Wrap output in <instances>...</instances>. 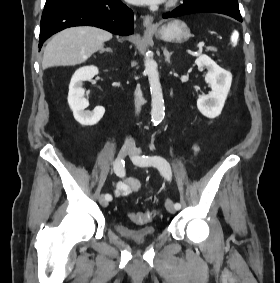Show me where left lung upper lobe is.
Instances as JSON below:
<instances>
[{
  "mask_svg": "<svg viewBox=\"0 0 280 283\" xmlns=\"http://www.w3.org/2000/svg\"><path fill=\"white\" fill-rule=\"evenodd\" d=\"M185 3H207L217 5L231 12L241 15L238 6V0H184Z\"/></svg>",
  "mask_w": 280,
  "mask_h": 283,
  "instance_id": "obj_1",
  "label": "left lung upper lobe"
}]
</instances>
